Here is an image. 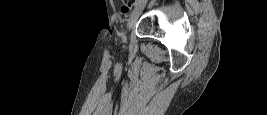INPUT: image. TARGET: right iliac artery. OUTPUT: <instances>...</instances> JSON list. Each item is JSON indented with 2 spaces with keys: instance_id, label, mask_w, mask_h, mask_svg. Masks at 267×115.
Returning a JSON list of instances; mask_svg holds the SVG:
<instances>
[{
  "instance_id": "82829eb1",
  "label": "right iliac artery",
  "mask_w": 267,
  "mask_h": 115,
  "mask_svg": "<svg viewBox=\"0 0 267 115\" xmlns=\"http://www.w3.org/2000/svg\"><path fill=\"white\" fill-rule=\"evenodd\" d=\"M139 2H136L135 5H138Z\"/></svg>"
}]
</instances>
